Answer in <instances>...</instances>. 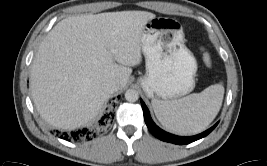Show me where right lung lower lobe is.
I'll return each instance as SVG.
<instances>
[{"label": "right lung lower lobe", "instance_id": "1", "mask_svg": "<svg viewBox=\"0 0 267 166\" xmlns=\"http://www.w3.org/2000/svg\"><path fill=\"white\" fill-rule=\"evenodd\" d=\"M112 117V112L104 114V116L99 120L98 124L94 128H83L77 131H72L70 133L64 132L61 135L62 139L67 141L80 142L84 139H91L95 135V130L99 127L106 126ZM113 118V117H112Z\"/></svg>", "mask_w": 267, "mask_h": 166}]
</instances>
